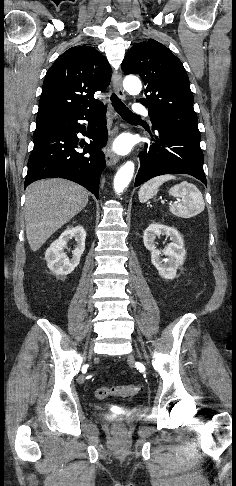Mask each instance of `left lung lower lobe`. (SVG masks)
I'll use <instances>...</instances> for the list:
<instances>
[{"mask_svg":"<svg viewBox=\"0 0 236 486\" xmlns=\"http://www.w3.org/2000/svg\"><path fill=\"white\" fill-rule=\"evenodd\" d=\"M154 143L145 144L140 153V168L135 187L164 174L184 173L207 185L203 170L204 156L200 148V133L173 126L156 127Z\"/></svg>","mask_w":236,"mask_h":486,"instance_id":"left-lung-lower-lobe-1","label":"left lung lower lobe"}]
</instances>
